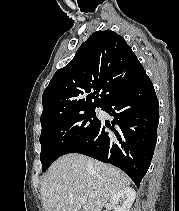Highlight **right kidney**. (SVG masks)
Returning <instances> with one entry per match:
<instances>
[{
	"mask_svg": "<svg viewBox=\"0 0 179 211\" xmlns=\"http://www.w3.org/2000/svg\"><path fill=\"white\" fill-rule=\"evenodd\" d=\"M136 192L131 187L123 188L110 198V203L114 211H130V208L135 200ZM119 203L121 205H119Z\"/></svg>",
	"mask_w": 179,
	"mask_h": 211,
	"instance_id": "obj_1",
	"label": "right kidney"
}]
</instances>
